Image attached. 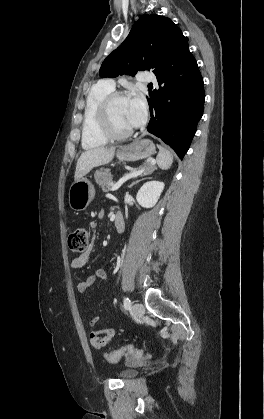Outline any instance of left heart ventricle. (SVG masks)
<instances>
[{
  "mask_svg": "<svg viewBox=\"0 0 264 419\" xmlns=\"http://www.w3.org/2000/svg\"><path fill=\"white\" fill-rule=\"evenodd\" d=\"M111 115L118 130H127L132 127L126 115V98H118L114 101L111 107Z\"/></svg>",
  "mask_w": 264,
  "mask_h": 419,
  "instance_id": "1",
  "label": "left heart ventricle"
}]
</instances>
